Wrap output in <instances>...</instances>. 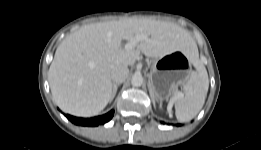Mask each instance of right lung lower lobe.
<instances>
[{
	"instance_id": "98d812e1",
	"label": "right lung lower lobe",
	"mask_w": 261,
	"mask_h": 150,
	"mask_svg": "<svg viewBox=\"0 0 261 150\" xmlns=\"http://www.w3.org/2000/svg\"><path fill=\"white\" fill-rule=\"evenodd\" d=\"M114 115V111L111 110L105 115L94 117V118H77L73 117L70 115H66V117L73 122L76 125H81V126H98L100 124H104L111 120V118Z\"/></svg>"
}]
</instances>
